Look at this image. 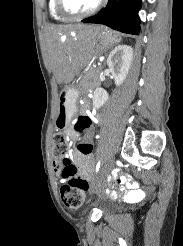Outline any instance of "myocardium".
Segmentation results:
<instances>
[{"mask_svg": "<svg viewBox=\"0 0 183 246\" xmlns=\"http://www.w3.org/2000/svg\"><path fill=\"white\" fill-rule=\"evenodd\" d=\"M103 1L104 0H98L94 4V6L91 7L89 10L84 11V12H80V13H77V12L70 10L68 8L66 0H56V6H57L58 12L61 15H63L64 17H66L68 19L77 20V19L89 17V16L93 15L94 13H96L100 9V7L102 6Z\"/></svg>", "mask_w": 183, "mask_h": 246, "instance_id": "1", "label": "myocardium"}]
</instances>
